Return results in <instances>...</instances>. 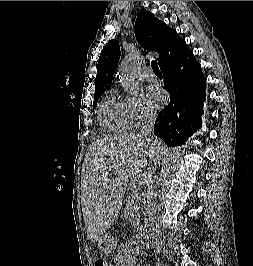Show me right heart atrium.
<instances>
[{"label": "right heart atrium", "instance_id": "d8ad5b80", "mask_svg": "<svg viewBox=\"0 0 253 266\" xmlns=\"http://www.w3.org/2000/svg\"><path fill=\"white\" fill-rule=\"evenodd\" d=\"M122 103L126 115L132 125L138 126L146 121H149L154 115L152 108L140 95L128 96Z\"/></svg>", "mask_w": 253, "mask_h": 266}]
</instances>
